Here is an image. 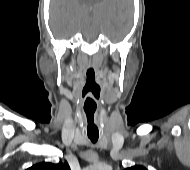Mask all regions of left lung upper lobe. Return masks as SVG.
Returning a JSON list of instances; mask_svg holds the SVG:
<instances>
[{
	"mask_svg": "<svg viewBox=\"0 0 190 170\" xmlns=\"http://www.w3.org/2000/svg\"><path fill=\"white\" fill-rule=\"evenodd\" d=\"M124 170H147L145 167L140 166V165H136V166H132L130 168H126Z\"/></svg>",
	"mask_w": 190,
	"mask_h": 170,
	"instance_id": "left-lung-upper-lobe-1",
	"label": "left lung upper lobe"
}]
</instances>
